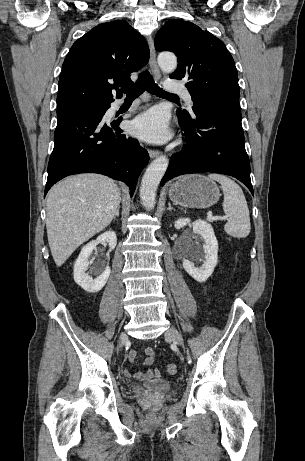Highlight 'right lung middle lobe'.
Listing matches in <instances>:
<instances>
[{
	"label": "right lung middle lobe",
	"mask_w": 305,
	"mask_h": 461,
	"mask_svg": "<svg viewBox=\"0 0 305 461\" xmlns=\"http://www.w3.org/2000/svg\"><path fill=\"white\" fill-rule=\"evenodd\" d=\"M109 104H102V103H97V104H84V105H78V106H72L68 108H63V109H75V110H81V109H86L88 111H102L105 110L108 107ZM62 110V109H59Z\"/></svg>",
	"instance_id": "1"
}]
</instances>
